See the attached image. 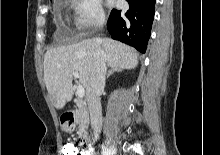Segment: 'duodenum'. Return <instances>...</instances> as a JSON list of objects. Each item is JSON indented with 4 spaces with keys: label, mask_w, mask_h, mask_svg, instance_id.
Listing matches in <instances>:
<instances>
[{
    "label": "duodenum",
    "mask_w": 220,
    "mask_h": 155,
    "mask_svg": "<svg viewBox=\"0 0 220 155\" xmlns=\"http://www.w3.org/2000/svg\"><path fill=\"white\" fill-rule=\"evenodd\" d=\"M74 118H75V112L74 111H68L63 116V120L67 124L73 123ZM84 139L87 142L86 146H85L86 155H92V149H91V145H90V140H89L88 137H84Z\"/></svg>",
    "instance_id": "410a0bca"
}]
</instances>
